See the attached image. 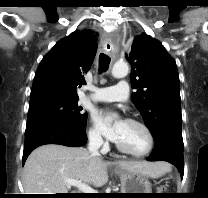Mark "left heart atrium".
<instances>
[{"mask_svg":"<svg viewBox=\"0 0 208 198\" xmlns=\"http://www.w3.org/2000/svg\"><path fill=\"white\" fill-rule=\"evenodd\" d=\"M94 122L100 131L110 140L117 141L124 121L120 120L110 124L109 115L106 112L97 111L93 115Z\"/></svg>","mask_w":208,"mask_h":198,"instance_id":"left-heart-atrium-1","label":"left heart atrium"}]
</instances>
